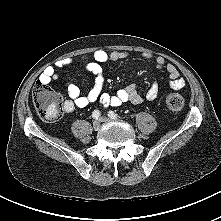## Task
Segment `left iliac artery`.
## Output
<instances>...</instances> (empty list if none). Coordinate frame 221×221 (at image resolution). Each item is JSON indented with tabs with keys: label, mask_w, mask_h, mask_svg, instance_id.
I'll use <instances>...</instances> for the list:
<instances>
[{
	"label": "left iliac artery",
	"mask_w": 221,
	"mask_h": 221,
	"mask_svg": "<svg viewBox=\"0 0 221 221\" xmlns=\"http://www.w3.org/2000/svg\"><path fill=\"white\" fill-rule=\"evenodd\" d=\"M108 116L110 117V118H112V119H117L119 116L115 113V112H113V111H109L108 112Z\"/></svg>",
	"instance_id": "1"
}]
</instances>
